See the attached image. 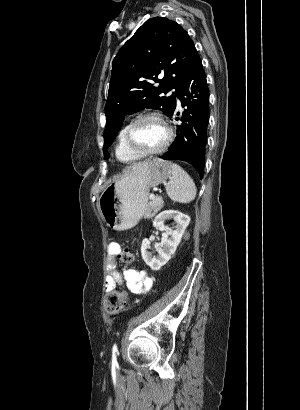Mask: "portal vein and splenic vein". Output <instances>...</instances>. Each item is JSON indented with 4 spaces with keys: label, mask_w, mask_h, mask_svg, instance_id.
<instances>
[{
    "label": "portal vein and splenic vein",
    "mask_w": 300,
    "mask_h": 410,
    "mask_svg": "<svg viewBox=\"0 0 300 410\" xmlns=\"http://www.w3.org/2000/svg\"><path fill=\"white\" fill-rule=\"evenodd\" d=\"M149 198L152 199V200L156 199L154 194H150Z\"/></svg>",
    "instance_id": "obj_1"
}]
</instances>
